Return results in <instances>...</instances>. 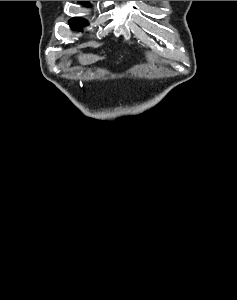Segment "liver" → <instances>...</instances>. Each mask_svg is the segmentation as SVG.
<instances>
[{
  "instance_id": "6515ba94",
  "label": "liver",
  "mask_w": 237,
  "mask_h": 300,
  "mask_svg": "<svg viewBox=\"0 0 237 300\" xmlns=\"http://www.w3.org/2000/svg\"><path fill=\"white\" fill-rule=\"evenodd\" d=\"M104 57H97V55H78V61L80 65H91V63H96V61H101ZM71 65L70 61L67 63V67Z\"/></svg>"
}]
</instances>
